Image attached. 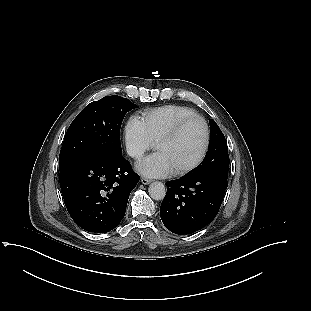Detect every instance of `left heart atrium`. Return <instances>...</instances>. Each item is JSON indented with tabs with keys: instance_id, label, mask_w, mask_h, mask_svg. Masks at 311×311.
<instances>
[{
	"instance_id": "left-heart-atrium-1",
	"label": "left heart atrium",
	"mask_w": 311,
	"mask_h": 311,
	"mask_svg": "<svg viewBox=\"0 0 311 311\" xmlns=\"http://www.w3.org/2000/svg\"><path fill=\"white\" fill-rule=\"evenodd\" d=\"M136 169L140 174L151 178L166 177L173 173L167 157L159 151L138 162Z\"/></svg>"
}]
</instances>
